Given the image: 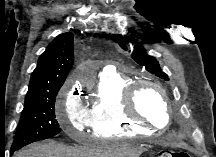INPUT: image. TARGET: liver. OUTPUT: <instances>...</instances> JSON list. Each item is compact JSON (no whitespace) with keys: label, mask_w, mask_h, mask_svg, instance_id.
I'll return each mask as SVG.
<instances>
[{"label":"liver","mask_w":216,"mask_h":157,"mask_svg":"<svg viewBox=\"0 0 216 157\" xmlns=\"http://www.w3.org/2000/svg\"><path fill=\"white\" fill-rule=\"evenodd\" d=\"M145 150L115 142L95 143L90 147H66L56 142L35 144L16 157H139Z\"/></svg>","instance_id":"liver-1"}]
</instances>
